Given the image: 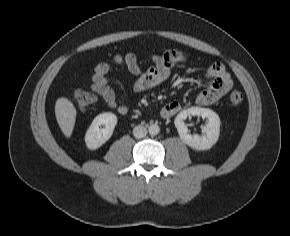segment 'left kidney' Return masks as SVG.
<instances>
[{"label":"left kidney","mask_w":290,"mask_h":236,"mask_svg":"<svg viewBox=\"0 0 290 236\" xmlns=\"http://www.w3.org/2000/svg\"><path fill=\"white\" fill-rule=\"evenodd\" d=\"M190 116H201L208 120L207 124L203 127L204 135H191L189 133L184 120ZM174 124L181 140L194 150H208L218 141L220 134V118L210 109L191 107L183 110L176 116Z\"/></svg>","instance_id":"5707ae66"}]
</instances>
